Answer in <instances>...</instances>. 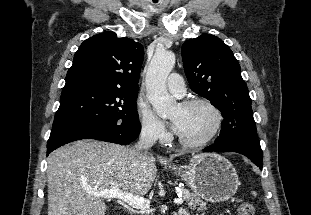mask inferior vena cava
I'll list each match as a JSON object with an SVG mask.
<instances>
[{
	"mask_svg": "<svg viewBox=\"0 0 311 215\" xmlns=\"http://www.w3.org/2000/svg\"><path fill=\"white\" fill-rule=\"evenodd\" d=\"M158 137L156 129L150 126H143L139 135V140L133 148V154L141 156L147 153L154 145Z\"/></svg>",
	"mask_w": 311,
	"mask_h": 215,
	"instance_id": "inferior-vena-cava-1",
	"label": "inferior vena cava"
}]
</instances>
